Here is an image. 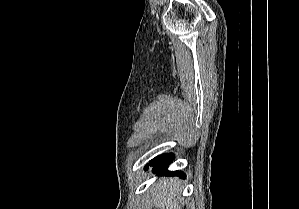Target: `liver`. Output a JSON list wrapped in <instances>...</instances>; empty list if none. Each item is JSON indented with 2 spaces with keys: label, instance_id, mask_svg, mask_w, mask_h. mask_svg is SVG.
Instances as JSON below:
<instances>
[{
  "label": "liver",
  "instance_id": "1",
  "mask_svg": "<svg viewBox=\"0 0 299 209\" xmlns=\"http://www.w3.org/2000/svg\"><path fill=\"white\" fill-rule=\"evenodd\" d=\"M180 192L176 179L163 178L150 189V195L157 209H180Z\"/></svg>",
  "mask_w": 299,
  "mask_h": 209
}]
</instances>
